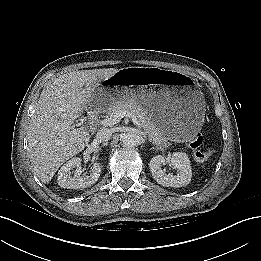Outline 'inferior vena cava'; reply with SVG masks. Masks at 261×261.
Returning a JSON list of instances; mask_svg holds the SVG:
<instances>
[{"instance_id":"obj_1","label":"inferior vena cava","mask_w":261,"mask_h":261,"mask_svg":"<svg viewBox=\"0 0 261 261\" xmlns=\"http://www.w3.org/2000/svg\"><path fill=\"white\" fill-rule=\"evenodd\" d=\"M111 136H112V130L108 128H103L97 132L96 139L99 142H106L111 138Z\"/></svg>"}]
</instances>
